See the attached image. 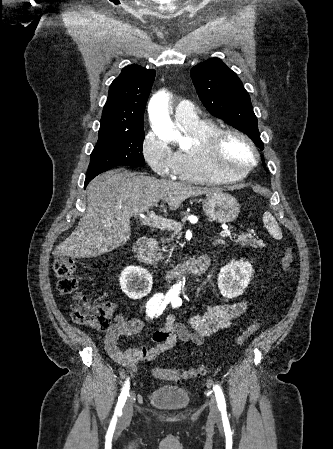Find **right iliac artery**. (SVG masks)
Segmentation results:
<instances>
[{
    "mask_svg": "<svg viewBox=\"0 0 333 449\" xmlns=\"http://www.w3.org/2000/svg\"><path fill=\"white\" fill-rule=\"evenodd\" d=\"M170 301H171V298L167 297V296H163V294L154 295L146 304L147 315L151 318H153L155 316V313H157V315H160ZM129 384H130L129 379H127L125 381L122 392L118 398V402H117L114 416L112 419V425L116 424L117 416H120L122 414V408L126 402L128 394H129Z\"/></svg>",
    "mask_w": 333,
    "mask_h": 449,
    "instance_id": "right-iliac-artery-1",
    "label": "right iliac artery"
}]
</instances>
